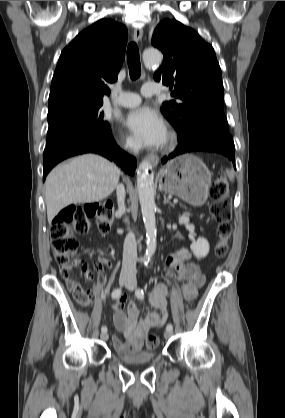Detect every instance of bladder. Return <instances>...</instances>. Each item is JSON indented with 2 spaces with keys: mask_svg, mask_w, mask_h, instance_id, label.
I'll list each match as a JSON object with an SVG mask.
<instances>
[{
  "mask_svg": "<svg viewBox=\"0 0 285 418\" xmlns=\"http://www.w3.org/2000/svg\"><path fill=\"white\" fill-rule=\"evenodd\" d=\"M114 355L123 363L137 366L145 365L155 361L156 355L153 351L150 352H121L114 349Z\"/></svg>",
  "mask_w": 285,
  "mask_h": 418,
  "instance_id": "31cf9c89",
  "label": "bladder"
}]
</instances>
